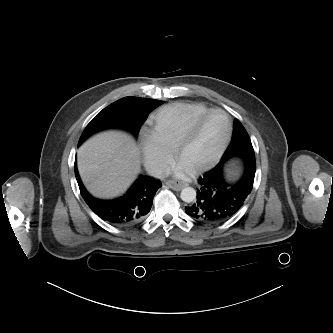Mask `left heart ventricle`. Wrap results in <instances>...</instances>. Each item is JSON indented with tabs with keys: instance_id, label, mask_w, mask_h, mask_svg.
<instances>
[{
	"instance_id": "1",
	"label": "left heart ventricle",
	"mask_w": 333,
	"mask_h": 333,
	"mask_svg": "<svg viewBox=\"0 0 333 333\" xmlns=\"http://www.w3.org/2000/svg\"><path fill=\"white\" fill-rule=\"evenodd\" d=\"M228 124L220 113H213L198 127L192 139L180 153L178 159L190 169L209 162L221 145Z\"/></svg>"
}]
</instances>
